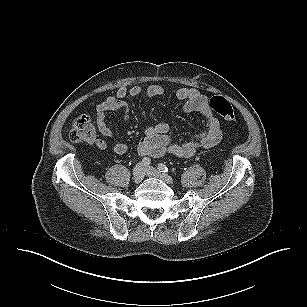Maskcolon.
<instances>
[{
  "instance_id": "colon-1",
  "label": "colon",
  "mask_w": 307,
  "mask_h": 307,
  "mask_svg": "<svg viewBox=\"0 0 307 307\" xmlns=\"http://www.w3.org/2000/svg\"><path fill=\"white\" fill-rule=\"evenodd\" d=\"M209 106L226 121L236 122L237 118L234 110L229 101L224 97H212L209 101ZM69 138L73 142H95L97 140V132L92 120L85 115L78 116L72 123Z\"/></svg>"
}]
</instances>
